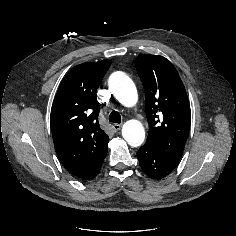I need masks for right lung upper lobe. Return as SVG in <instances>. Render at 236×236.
I'll return each mask as SVG.
<instances>
[{
    "label": "right lung upper lobe",
    "instance_id": "1",
    "mask_svg": "<svg viewBox=\"0 0 236 236\" xmlns=\"http://www.w3.org/2000/svg\"><path fill=\"white\" fill-rule=\"evenodd\" d=\"M110 67L109 60L83 63L63 79L51 109L55 151L65 168L86 178L103 162L108 135L100 128L97 87Z\"/></svg>",
    "mask_w": 236,
    "mask_h": 236
}]
</instances>
